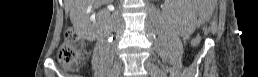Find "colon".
Masks as SVG:
<instances>
[{
    "instance_id": "colon-1",
    "label": "colon",
    "mask_w": 258,
    "mask_h": 77,
    "mask_svg": "<svg viewBox=\"0 0 258 77\" xmlns=\"http://www.w3.org/2000/svg\"><path fill=\"white\" fill-rule=\"evenodd\" d=\"M58 58L66 66L74 65L81 61L82 53L78 46V37L73 30L66 33V39L60 46Z\"/></svg>"
}]
</instances>
